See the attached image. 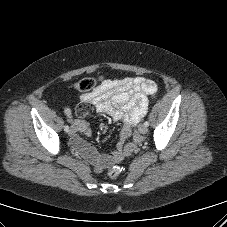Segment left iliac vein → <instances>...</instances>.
Masks as SVG:
<instances>
[{
  "label": "left iliac vein",
  "mask_w": 227,
  "mask_h": 227,
  "mask_svg": "<svg viewBox=\"0 0 227 227\" xmlns=\"http://www.w3.org/2000/svg\"><path fill=\"white\" fill-rule=\"evenodd\" d=\"M139 132L141 134H146L148 132V128L144 124H142L139 126Z\"/></svg>",
  "instance_id": "1"
}]
</instances>
